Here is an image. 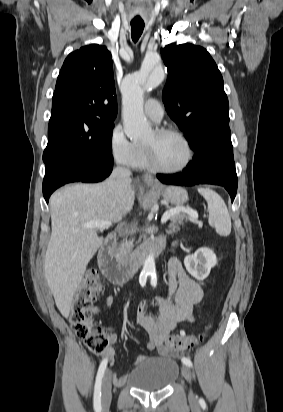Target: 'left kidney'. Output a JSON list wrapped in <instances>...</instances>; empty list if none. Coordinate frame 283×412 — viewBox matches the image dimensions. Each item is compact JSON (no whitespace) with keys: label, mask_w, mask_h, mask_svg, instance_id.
<instances>
[{"label":"left kidney","mask_w":283,"mask_h":412,"mask_svg":"<svg viewBox=\"0 0 283 412\" xmlns=\"http://www.w3.org/2000/svg\"><path fill=\"white\" fill-rule=\"evenodd\" d=\"M217 264L215 253L209 248H199L194 254L184 259L186 270L197 280H204L211 268Z\"/></svg>","instance_id":"left-kidney-1"}]
</instances>
